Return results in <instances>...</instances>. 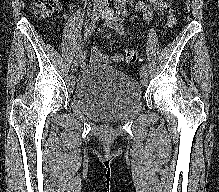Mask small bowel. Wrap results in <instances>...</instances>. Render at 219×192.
I'll return each instance as SVG.
<instances>
[{"instance_id": "1", "label": "small bowel", "mask_w": 219, "mask_h": 192, "mask_svg": "<svg viewBox=\"0 0 219 192\" xmlns=\"http://www.w3.org/2000/svg\"><path fill=\"white\" fill-rule=\"evenodd\" d=\"M169 7L168 0H149V3L144 1H139L136 4V9L141 11L146 20L152 19L154 16H161L165 12V10ZM58 9H61V5H57ZM102 52L98 50L96 47L92 49V57L90 58L91 62L100 61V57L102 56ZM121 58L120 55L115 57V60H119Z\"/></svg>"}]
</instances>
